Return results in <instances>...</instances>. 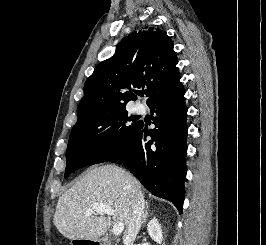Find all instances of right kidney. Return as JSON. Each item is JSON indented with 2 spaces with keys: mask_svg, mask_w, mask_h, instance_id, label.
<instances>
[{
  "mask_svg": "<svg viewBox=\"0 0 266 245\" xmlns=\"http://www.w3.org/2000/svg\"><path fill=\"white\" fill-rule=\"evenodd\" d=\"M147 231L151 239H153V241H156V243H159V245H161L163 241V235L158 219H152V221H149L147 225Z\"/></svg>",
  "mask_w": 266,
  "mask_h": 245,
  "instance_id": "obj_1",
  "label": "right kidney"
}]
</instances>
